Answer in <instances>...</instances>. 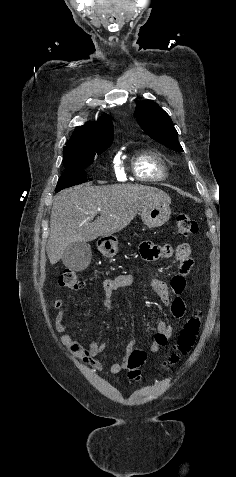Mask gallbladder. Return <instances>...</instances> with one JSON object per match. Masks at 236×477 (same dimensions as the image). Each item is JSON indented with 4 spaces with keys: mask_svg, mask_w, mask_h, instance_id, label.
Segmentation results:
<instances>
[{
    "mask_svg": "<svg viewBox=\"0 0 236 477\" xmlns=\"http://www.w3.org/2000/svg\"><path fill=\"white\" fill-rule=\"evenodd\" d=\"M91 248L87 242L76 241L71 243L62 256L63 264L71 271H83L91 261Z\"/></svg>",
    "mask_w": 236,
    "mask_h": 477,
    "instance_id": "obj_1",
    "label": "gallbladder"
}]
</instances>
